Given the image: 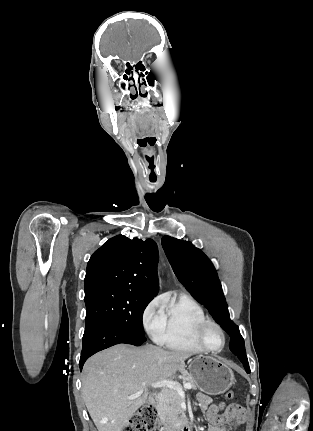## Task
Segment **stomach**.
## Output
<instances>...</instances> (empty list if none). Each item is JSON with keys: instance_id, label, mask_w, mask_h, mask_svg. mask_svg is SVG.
Returning a JSON list of instances; mask_svg holds the SVG:
<instances>
[{"instance_id": "obj_1", "label": "stomach", "mask_w": 313, "mask_h": 431, "mask_svg": "<svg viewBox=\"0 0 313 431\" xmlns=\"http://www.w3.org/2000/svg\"><path fill=\"white\" fill-rule=\"evenodd\" d=\"M188 370V374L196 381L198 388L210 395L226 392L235 382L231 368L211 356L193 358Z\"/></svg>"}]
</instances>
